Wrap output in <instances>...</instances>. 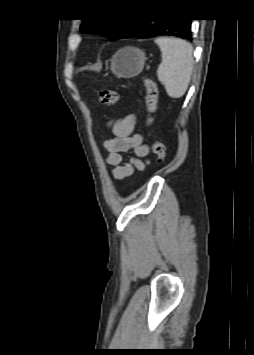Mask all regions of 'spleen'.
Listing matches in <instances>:
<instances>
[{
  "mask_svg": "<svg viewBox=\"0 0 254 355\" xmlns=\"http://www.w3.org/2000/svg\"><path fill=\"white\" fill-rule=\"evenodd\" d=\"M155 43L162 54V62L157 70L158 80L171 98H180L185 94L191 80L193 47L174 37H160Z\"/></svg>",
  "mask_w": 254,
  "mask_h": 355,
  "instance_id": "obj_1",
  "label": "spleen"
}]
</instances>
